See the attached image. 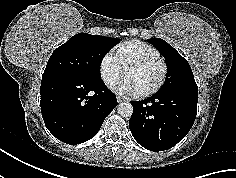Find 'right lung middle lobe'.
Masks as SVG:
<instances>
[{"label":"right lung middle lobe","instance_id":"right-lung-middle-lobe-1","mask_svg":"<svg viewBox=\"0 0 236 178\" xmlns=\"http://www.w3.org/2000/svg\"><path fill=\"white\" fill-rule=\"evenodd\" d=\"M118 42L119 39L115 38L78 33L55 49L43 76L65 75L87 81H101V62Z\"/></svg>","mask_w":236,"mask_h":178}]
</instances>
